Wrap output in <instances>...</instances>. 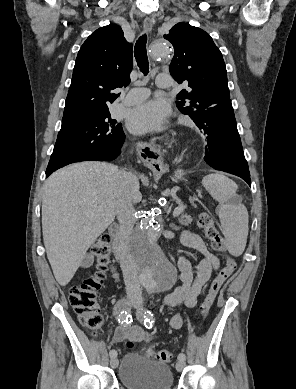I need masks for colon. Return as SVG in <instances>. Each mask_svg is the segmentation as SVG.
Returning a JSON list of instances; mask_svg holds the SVG:
<instances>
[{"instance_id":"colon-1","label":"colon","mask_w":296,"mask_h":389,"mask_svg":"<svg viewBox=\"0 0 296 389\" xmlns=\"http://www.w3.org/2000/svg\"><path fill=\"white\" fill-rule=\"evenodd\" d=\"M198 224L203 229L212 248L217 252H224L226 249L225 240L215 226L212 217L207 212H202L199 215ZM91 250L96 258L97 271L94 275L84 279L80 284L72 286L68 292V299L82 325L93 334H96L103 322L97 302V291L104 282L105 272L110 263L112 250L110 236L107 233L100 235L92 245ZM236 268L237 263L235 259L227 257L225 265L212 281L207 295L200 304L199 311L203 317L207 316L222 285L235 272ZM126 345L128 348H132L134 343L132 340H128ZM148 354L161 362H169L172 358V354L165 349H149Z\"/></svg>"}]
</instances>
